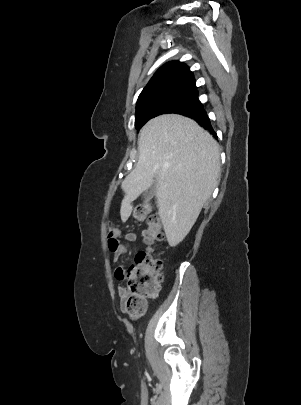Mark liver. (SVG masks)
<instances>
[{
	"mask_svg": "<svg viewBox=\"0 0 301 405\" xmlns=\"http://www.w3.org/2000/svg\"><path fill=\"white\" fill-rule=\"evenodd\" d=\"M138 150V163L122 182L121 219H128L131 203L156 181L159 216L169 245L176 246L218 184L219 145L194 120L166 114L143 126Z\"/></svg>",
	"mask_w": 301,
	"mask_h": 405,
	"instance_id": "liver-1",
	"label": "liver"
}]
</instances>
